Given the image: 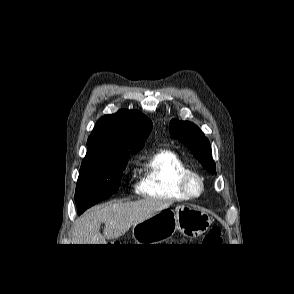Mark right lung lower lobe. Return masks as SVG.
I'll return each mask as SVG.
<instances>
[{
    "label": "right lung lower lobe",
    "instance_id": "right-lung-lower-lobe-1",
    "mask_svg": "<svg viewBox=\"0 0 294 294\" xmlns=\"http://www.w3.org/2000/svg\"><path fill=\"white\" fill-rule=\"evenodd\" d=\"M82 212H83L82 210H79V211H78V214H81Z\"/></svg>",
    "mask_w": 294,
    "mask_h": 294
}]
</instances>
